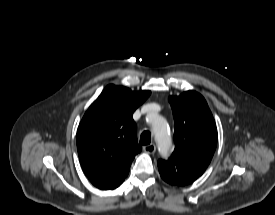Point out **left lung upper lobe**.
<instances>
[{
	"label": "left lung upper lobe",
	"mask_w": 275,
	"mask_h": 215,
	"mask_svg": "<svg viewBox=\"0 0 275 215\" xmlns=\"http://www.w3.org/2000/svg\"><path fill=\"white\" fill-rule=\"evenodd\" d=\"M174 116L175 149L171 158L159 160L163 180L172 185L192 183L208 167L217 145V129L202 95L187 91L168 98Z\"/></svg>",
	"instance_id": "5c2ea615"
}]
</instances>
